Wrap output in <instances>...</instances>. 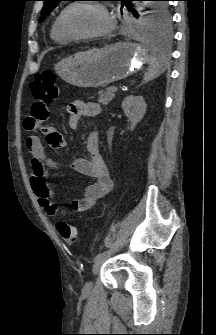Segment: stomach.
<instances>
[{
  "label": "stomach",
  "instance_id": "1",
  "mask_svg": "<svg viewBox=\"0 0 216 335\" xmlns=\"http://www.w3.org/2000/svg\"><path fill=\"white\" fill-rule=\"evenodd\" d=\"M149 59L146 49L140 45L116 42L69 56L55 65V71L77 87H105L137 72Z\"/></svg>",
  "mask_w": 216,
  "mask_h": 335
}]
</instances>
